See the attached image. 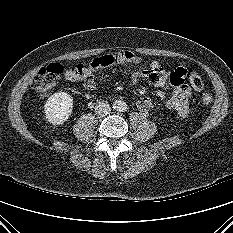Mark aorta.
I'll return each mask as SVG.
<instances>
[{
  "mask_svg": "<svg viewBox=\"0 0 233 233\" xmlns=\"http://www.w3.org/2000/svg\"><path fill=\"white\" fill-rule=\"evenodd\" d=\"M113 108L117 111H122L125 108V103L120 100H116L113 103Z\"/></svg>",
  "mask_w": 233,
  "mask_h": 233,
  "instance_id": "1",
  "label": "aorta"
}]
</instances>
